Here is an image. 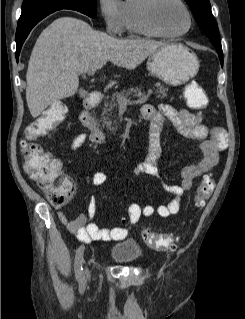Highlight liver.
<instances>
[{
  "label": "liver",
  "instance_id": "1",
  "mask_svg": "<svg viewBox=\"0 0 245 319\" xmlns=\"http://www.w3.org/2000/svg\"><path fill=\"white\" fill-rule=\"evenodd\" d=\"M164 45L149 39H117L74 17L54 20L39 35L28 63L26 100L32 117L73 96L80 73L102 68L107 61L135 69Z\"/></svg>",
  "mask_w": 245,
  "mask_h": 319
}]
</instances>
